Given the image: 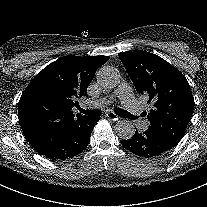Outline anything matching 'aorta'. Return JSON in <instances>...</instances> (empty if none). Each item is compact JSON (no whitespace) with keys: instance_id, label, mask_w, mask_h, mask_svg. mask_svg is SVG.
Segmentation results:
<instances>
[{"instance_id":"aorta-1","label":"aorta","mask_w":207,"mask_h":207,"mask_svg":"<svg viewBox=\"0 0 207 207\" xmlns=\"http://www.w3.org/2000/svg\"><path fill=\"white\" fill-rule=\"evenodd\" d=\"M96 78L98 84L104 89H113L120 83V73L112 66L100 68ZM115 132L121 139L127 140L135 134V126L129 120H121L116 123Z\"/></svg>"}]
</instances>
